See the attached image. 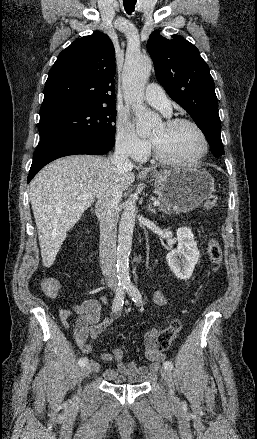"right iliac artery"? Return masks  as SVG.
Masks as SVG:
<instances>
[{
    "mask_svg": "<svg viewBox=\"0 0 257 439\" xmlns=\"http://www.w3.org/2000/svg\"><path fill=\"white\" fill-rule=\"evenodd\" d=\"M124 289L125 285H119L116 291V296L113 301L112 310L113 312H118L121 310L124 303ZM88 363L87 357H82L79 359L78 364L82 367Z\"/></svg>",
    "mask_w": 257,
    "mask_h": 439,
    "instance_id": "82829eb1",
    "label": "right iliac artery"
}]
</instances>
